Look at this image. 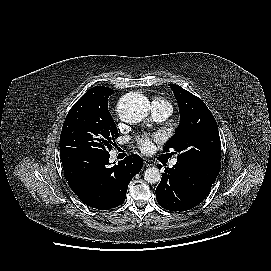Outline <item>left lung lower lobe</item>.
I'll return each mask as SVG.
<instances>
[{
	"label": "left lung lower lobe",
	"mask_w": 271,
	"mask_h": 271,
	"mask_svg": "<svg viewBox=\"0 0 271 271\" xmlns=\"http://www.w3.org/2000/svg\"><path fill=\"white\" fill-rule=\"evenodd\" d=\"M212 185L176 164L172 168H165L156 188V199L167 210L187 211L207 197Z\"/></svg>",
	"instance_id": "left-lung-lower-lobe-1"
}]
</instances>
